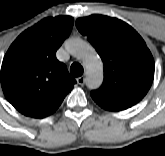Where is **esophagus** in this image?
<instances>
[{"label": "esophagus", "instance_id": "34e87169", "mask_svg": "<svg viewBox=\"0 0 165 156\" xmlns=\"http://www.w3.org/2000/svg\"><path fill=\"white\" fill-rule=\"evenodd\" d=\"M85 81H86V79H85L84 76H81V77L77 78V83L81 86H83L85 84Z\"/></svg>", "mask_w": 165, "mask_h": 156}]
</instances>
